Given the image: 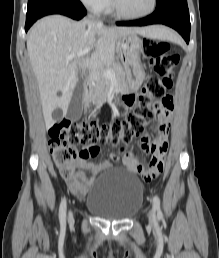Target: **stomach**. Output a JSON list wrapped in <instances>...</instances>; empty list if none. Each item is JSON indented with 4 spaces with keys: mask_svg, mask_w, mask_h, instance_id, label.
Instances as JSON below:
<instances>
[{
    "mask_svg": "<svg viewBox=\"0 0 219 258\" xmlns=\"http://www.w3.org/2000/svg\"><path fill=\"white\" fill-rule=\"evenodd\" d=\"M120 55L124 59L128 89L136 91L144 81L145 73L141 63L142 40L136 34L122 37L119 42Z\"/></svg>",
    "mask_w": 219,
    "mask_h": 258,
    "instance_id": "obj_1",
    "label": "stomach"
}]
</instances>
